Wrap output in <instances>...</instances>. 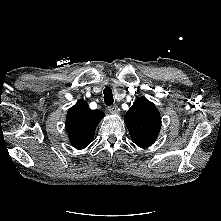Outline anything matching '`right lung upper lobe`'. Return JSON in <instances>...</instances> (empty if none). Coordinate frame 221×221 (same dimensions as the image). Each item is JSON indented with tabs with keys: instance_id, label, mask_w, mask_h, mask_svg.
I'll return each mask as SVG.
<instances>
[{
	"instance_id": "cb5924a9",
	"label": "right lung upper lobe",
	"mask_w": 221,
	"mask_h": 221,
	"mask_svg": "<svg viewBox=\"0 0 221 221\" xmlns=\"http://www.w3.org/2000/svg\"><path fill=\"white\" fill-rule=\"evenodd\" d=\"M104 115L101 110H91L84 100H79L68 110L66 130L76 149H84L93 141L95 129Z\"/></svg>"
}]
</instances>
